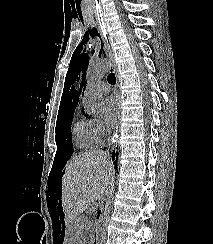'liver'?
<instances>
[{
  "label": "liver",
  "mask_w": 213,
  "mask_h": 244,
  "mask_svg": "<svg viewBox=\"0 0 213 244\" xmlns=\"http://www.w3.org/2000/svg\"><path fill=\"white\" fill-rule=\"evenodd\" d=\"M112 176L113 165L102 151L83 153L66 166L61 200L69 231L76 229L74 220L81 211L110 193Z\"/></svg>",
  "instance_id": "obj_1"
}]
</instances>
